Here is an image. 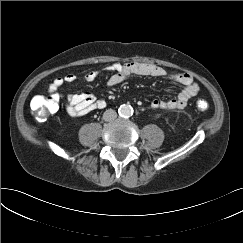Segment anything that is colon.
Returning a JSON list of instances; mask_svg holds the SVG:
<instances>
[{
  "instance_id": "5ec220e1",
  "label": "colon",
  "mask_w": 243,
  "mask_h": 243,
  "mask_svg": "<svg viewBox=\"0 0 243 243\" xmlns=\"http://www.w3.org/2000/svg\"><path fill=\"white\" fill-rule=\"evenodd\" d=\"M196 106L200 111L208 109V102L199 99ZM59 108V96L57 94H50L49 96L39 94L31 100V109L33 115L38 120H44L49 115L55 113Z\"/></svg>"
}]
</instances>
